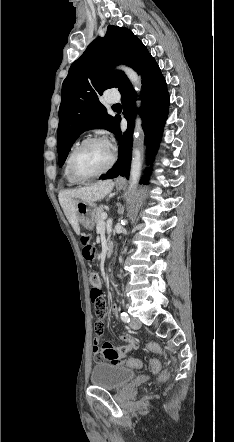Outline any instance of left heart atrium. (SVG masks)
<instances>
[{
	"label": "left heart atrium",
	"mask_w": 234,
	"mask_h": 442,
	"mask_svg": "<svg viewBox=\"0 0 234 442\" xmlns=\"http://www.w3.org/2000/svg\"><path fill=\"white\" fill-rule=\"evenodd\" d=\"M108 145L111 147V143L108 141Z\"/></svg>",
	"instance_id": "obj_1"
}]
</instances>
